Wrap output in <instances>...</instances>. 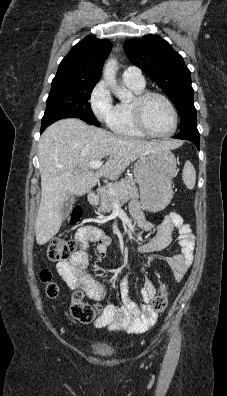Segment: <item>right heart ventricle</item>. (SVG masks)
I'll list each match as a JSON object with an SVG mask.
<instances>
[{"label": "right heart ventricle", "instance_id": "e07e8e85", "mask_svg": "<svg viewBox=\"0 0 227 396\" xmlns=\"http://www.w3.org/2000/svg\"><path fill=\"white\" fill-rule=\"evenodd\" d=\"M125 84L135 96L145 91V84L133 82H125ZM131 102L119 101L114 105L112 114L107 121V126L112 132L118 135L135 138L144 137L145 134L137 128L134 122Z\"/></svg>", "mask_w": 227, "mask_h": 396}]
</instances>
